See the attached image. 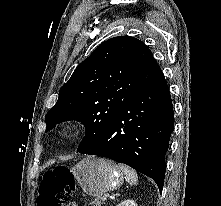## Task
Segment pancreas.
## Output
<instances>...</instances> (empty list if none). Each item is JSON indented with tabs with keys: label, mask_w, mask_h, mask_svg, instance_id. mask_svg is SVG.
Segmentation results:
<instances>
[{
	"label": "pancreas",
	"mask_w": 221,
	"mask_h": 206,
	"mask_svg": "<svg viewBox=\"0 0 221 206\" xmlns=\"http://www.w3.org/2000/svg\"><path fill=\"white\" fill-rule=\"evenodd\" d=\"M105 200V196H98L94 201L91 202V206H102Z\"/></svg>",
	"instance_id": "cf45deb5"
}]
</instances>
